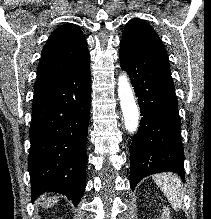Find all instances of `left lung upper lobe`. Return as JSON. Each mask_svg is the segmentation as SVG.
<instances>
[{
  "instance_id": "5c2ea615",
  "label": "left lung upper lobe",
  "mask_w": 211,
  "mask_h": 219,
  "mask_svg": "<svg viewBox=\"0 0 211 219\" xmlns=\"http://www.w3.org/2000/svg\"><path fill=\"white\" fill-rule=\"evenodd\" d=\"M122 41L133 46L165 50V47L153 28L141 19H131L125 26Z\"/></svg>"
}]
</instances>
